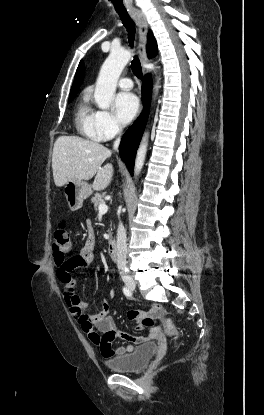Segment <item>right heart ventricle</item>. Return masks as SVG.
Wrapping results in <instances>:
<instances>
[{"mask_svg":"<svg viewBox=\"0 0 264 415\" xmlns=\"http://www.w3.org/2000/svg\"><path fill=\"white\" fill-rule=\"evenodd\" d=\"M74 122L81 135L93 141L104 140L97 126V110L92 107L88 94L78 102Z\"/></svg>","mask_w":264,"mask_h":415,"instance_id":"e07e8e85","label":"right heart ventricle"}]
</instances>
